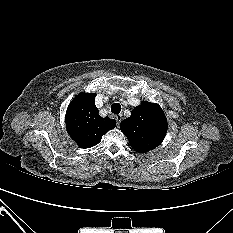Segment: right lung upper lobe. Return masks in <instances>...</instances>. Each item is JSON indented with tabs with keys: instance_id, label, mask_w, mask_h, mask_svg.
<instances>
[{
	"instance_id": "cb5924a9",
	"label": "right lung upper lobe",
	"mask_w": 233,
	"mask_h": 233,
	"mask_svg": "<svg viewBox=\"0 0 233 233\" xmlns=\"http://www.w3.org/2000/svg\"><path fill=\"white\" fill-rule=\"evenodd\" d=\"M95 97V93H81L71 101L66 111L67 132L80 148L97 145L102 136L116 126L114 119L100 117Z\"/></svg>"
}]
</instances>
